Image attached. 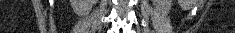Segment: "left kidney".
Instances as JSON below:
<instances>
[{
    "label": "left kidney",
    "instance_id": "obj_1",
    "mask_svg": "<svg viewBox=\"0 0 235 33\" xmlns=\"http://www.w3.org/2000/svg\"><path fill=\"white\" fill-rule=\"evenodd\" d=\"M155 8L162 14H167L172 6V0H152Z\"/></svg>",
    "mask_w": 235,
    "mask_h": 33
}]
</instances>
